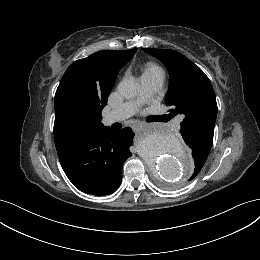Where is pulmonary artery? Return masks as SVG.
<instances>
[{
	"label": "pulmonary artery",
	"instance_id": "e3ab8cb5",
	"mask_svg": "<svg viewBox=\"0 0 260 260\" xmlns=\"http://www.w3.org/2000/svg\"><path fill=\"white\" fill-rule=\"evenodd\" d=\"M163 81L164 75L162 72L153 73L142 78L143 90L139 97L133 101L126 102L120 107L110 111L105 117V123L112 124L114 122H120L132 116L140 105H142L152 95L160 90ZM181 121V117L176 121L175 126L177 128L180 127Z\"/></svg>",
	"mask_w": 260,
	"mask_h": 260
}]
</instances>
